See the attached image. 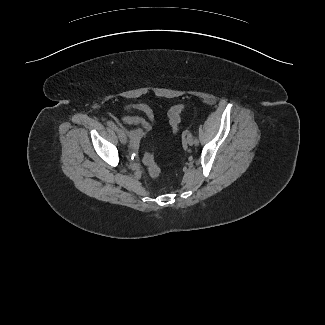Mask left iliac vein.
I'll return each mask as SVG.
<instances>
[{
	"instance_id": "obj_1",
	"label": "left iliac vein",
	"mask_w": 325,
	"mask_h": 325,
	"mask_svg": "<svg viewBox=\"0 0 325 325\" xmlns=\"http://www.w3.org/2000/svg\"><path fill=\"white\" fill-rule=\"evenodd\" d=\"M186 142H187L188 145H190V146H192V145L195 144L194 137L192 136L191 133H188V134H187Z\"/></svg>"
}]
</instances>
